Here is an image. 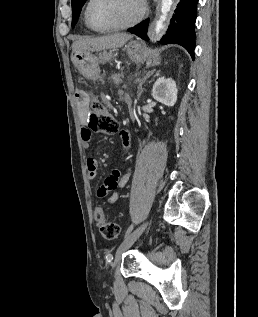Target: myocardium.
Listing matches in <instances>:
<instances>
[{"label": "myocardium", "mask_w": 258, "mask_h": 317, "mask_svg": "<svg viewBox=\"0 0 258 317\" xmlns=\"http://www.w3.org/2000/svg\"><path fill=\"white\" fill-rule=\"evenodd\" d=\"M95 1H97V0H90L88 2L86 10H85V20L91 29L98 31V32H112V31H123V30L134 29L141 22V20L143 19L144 15H145V11H146L145 5L141 0H134L138 5L139 11H138L136 18L131 23H129L127 25H122V26H113V27L101 28V27L96 26L92 22L90 15H89L90 8Z\"/></svg>", "instance_id": "f54148a6"}]
</instances>
